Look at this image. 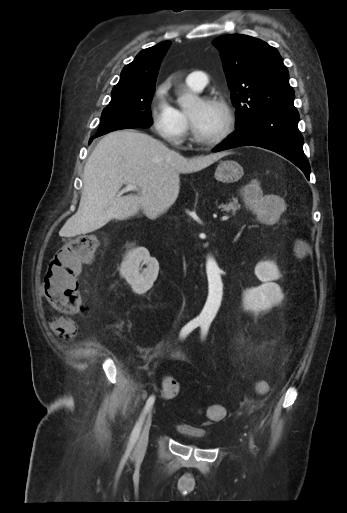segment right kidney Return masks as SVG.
I'll return each mask as SVG.
<instances>
[{"label":"right kidney","mask_w":347,"mask_h":513,"mask_svg":"<svg viewBox=\"0 0 347 513\" xmlns=\"http://www.w3.org/2000/svg\"><path fill=\"white\" fill-rule=\"evenodd\" d=\"M142 265H146L147 268L140 273ZM158 273V261L152 258L144 247L129 251L120 267V275L126 279L137 294H143L151 289Z\"/></svg>","instance_id":"obj_1"}]
</instances>
